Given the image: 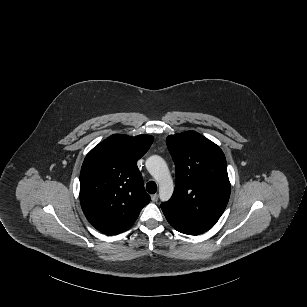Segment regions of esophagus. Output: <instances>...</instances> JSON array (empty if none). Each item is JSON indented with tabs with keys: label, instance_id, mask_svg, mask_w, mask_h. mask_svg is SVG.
Segmentation results:
<instances>
[{
	"label": "esophagus",
	"instance_id": "obj_1",
	"mask_svg": "<svg viewBox=\"0 0 307 307\" xmlns=\"http://www.w3.org/2000/svg\"><path fill=\"white\" fill-rule=\"evenodd\" d=\"M151 199H152L153 202H157L158 201V195L157 194L151 195Z\"/></svg>",
	"mask_w": 307,
	"mask_h": 307
}]
</instances>
